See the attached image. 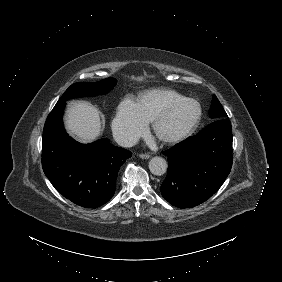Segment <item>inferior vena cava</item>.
Returning a JSON list of instances; mask_svg holds the SVG:
<instances>
[{
  "label": "inferior vena cava",
  "mask_w": 282,
  "mask_h": 282,
  "mask_svg": "<svg viewBox=\"0 0 282 282\" xmlns=\"http://www.w3.org/2000/svg\"><path fill=\"white\" fill-rule=\"evenodd\" d=\"M113 137L116 143L123 147H133L139 140L130 130L122 127L113 129Z\"/></svg>",
  "instance_id": "1"
}]
</instances>
